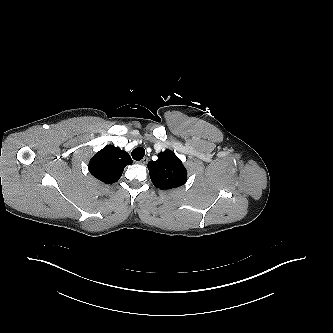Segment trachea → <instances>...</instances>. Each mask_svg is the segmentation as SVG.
Listing matches in <instances>:
<instances>
[{
    "label": "trachea",
    "instance_id": "1",
    "mask_svg": "<svg viewBox=\"0 0 333 333\" xmlns=\"http://www.w3.org/2000/svg\"><path fill=\"white\" fill-rule=\"evenodd\" d=\"M131 155L134 160L140 161L145 155V150L142 147H137L132 151Z\"/></svg>",
    "mask_w": 333,
    "mask_h": 333
}]
</instances>
